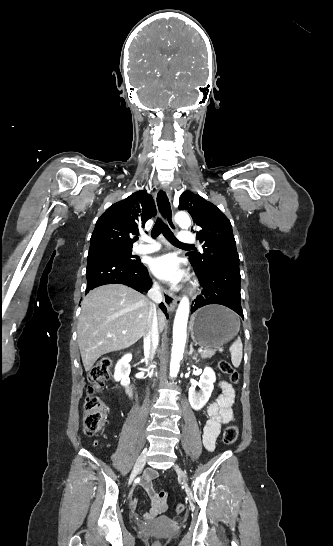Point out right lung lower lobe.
I'll use <instances>...</instances> for the list:
<instances>
[{
	"mask_svg": "<svg viewBox=\"0 0 333 546\" xmlns=\"http://www.w3.org/2000/svg\"><path fill=\"white\" fill-rule=\"evenodd\" d=\"M86 278V294L89 290L106 284H124L141 293L147 292L152 286L147 268L140 260L129 262L102 252L88 254ZM159 306L167 315L163 303Z\"/></svg>",
	"mask_w": 333,
	"mask_h": 546,
	"instance_id": "right-lung-lower-lobe-1",
	"label": "right lung lower lobe"
}]
</instances>
